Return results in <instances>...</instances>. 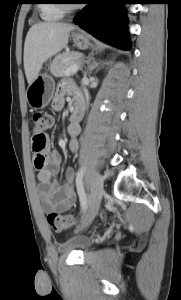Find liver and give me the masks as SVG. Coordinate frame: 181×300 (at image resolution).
Segmentation results:
<instances>
[{
	"instance_id": "obj_1",
	"label": "liver",
	"mask_w": 181,
	"mask_h": 300,
	"mask_svg": "<svg viewBox=\"0 0 181 300\" xmlns=\"http://www.w3.org/2000/svg\"><path fill=\"white\" fill-rule=\"evenodd\" d=\"M71 24L41 22L33 25L24 43V70L29 85L33 83L42 65L67 46Z\"/></svg>"
}]
</instances>
